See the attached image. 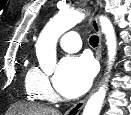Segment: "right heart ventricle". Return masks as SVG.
Instances as JSON below:
<instances>
[{
  "mask_svg": "<svg viewBox=\"0 0 131 115\" xmlns=\"http://www.w3.org/2000/svg\"><path fill=\"white\" fill-rule=\"evenodd\" d=\"M38 69L34 67H28L23 81L24 90L29 99L38 100L41 97V94L34 87V76Z\"/></svg>",
  "mask_w": 131,
  "mask_h": 115,
  "instance_id": "1",
  "label": "right heart ventricle"
}]
</instances>
